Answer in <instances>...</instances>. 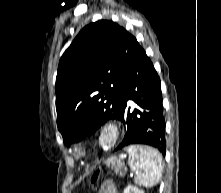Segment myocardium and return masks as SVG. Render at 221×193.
Returning <instances> with one entry per match:
<instances>
[{
    "label": "myocardium",
    "mask_w": 221,
    "mask_h": 193,
    "mask_svg": "<svg viewBox=\"0 0 221 193\" xmlns=\"http://www.w3.org/2000/svg\"><path fill=\"white\" fill-rule=\"evenodd\" d=\"M108 135L111 138L109 144L105 145L103 143V138ZM121 138V127L115 120L109 119L104 121L98 128L96 134V143L98 147L104 151H109L113 149L119 142Z\"/></svg>",
    "instance_id": "myocardium-1"
}]
</instances>
